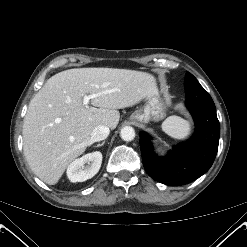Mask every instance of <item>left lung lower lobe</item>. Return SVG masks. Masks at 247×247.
Wrapping results in <instances>:
<instances>
[{
	"label": "left lung lower lobe",
	"mask_w": 247,
	"mask_h": 247,
	"mask_svg": "<svg viewBox=\"0 0 247 247\" xmlns=\"http://www.w3.org/2000/svg\"><path fill=\"white\" fill-rule=\"evenodd\" d=\"M186 105L195 121V133L159 158L147 133H140V148L146 172L166 185H184L199 178L212 166L218 150L220 125L211 96L196 78L185 80Z\"/></svg>",
	"instance_id": "obj_1"
}]
</instances>
